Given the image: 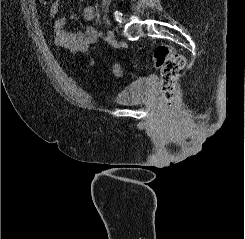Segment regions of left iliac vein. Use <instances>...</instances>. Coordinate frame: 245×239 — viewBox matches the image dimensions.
Wrapping results in <instances>:
<instances>
[{
	"mask_svg": "<svg viewBox=\"0 0 245 239\" xmlns=\"http://www.w3.org/2000/svg\"><path fill=\"white\" fill-rule=\"evenodd\" d=\"M106 40L108 43L114 42V33L112 30H108L106 33Z\"/></svg>",
	"mask_w": 245,
	"mask_h": 239,
	"instance_id": "left-iliac-vein-1",
	"label": "left iliac vein"
}]
</instances>
